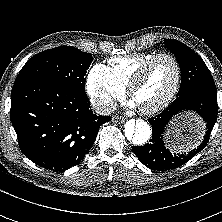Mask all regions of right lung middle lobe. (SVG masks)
I'll return each mask as SVG.
<instances>
[{
	"label": "right lung middle lobe",
	"instance_id": "dd1d6c3e",
	"mask_svg": "<svg viewBox=\"0 0 222 222\" xmlns=\"http://www.w3.org/2000/svg\"><path fill=\"white\" fill-rule=\"evenodd\" d=\"M93 61L90 53L62 46L43 51L29 59L15 83L45 81L85 93V74Z\"/></svg>",
	"mask_w": 222,
	"mask_h": 222
}]
</instances>
